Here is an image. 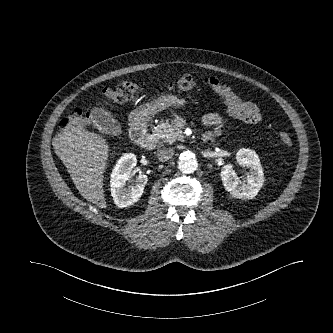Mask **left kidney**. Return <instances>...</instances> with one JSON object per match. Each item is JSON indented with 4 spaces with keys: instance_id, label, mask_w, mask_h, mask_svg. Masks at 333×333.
<instances>
[{
    "instance_id": "obj_1",
    "label": "left kidney",
    "mask_w": 333,
    "mask_h": 333,
    "mask_svg": "<svg viewBox=\"0 0 333 333\" xmlns=\"http://www.w3.org/2000/svg\"><path fill=\"white\" fill-rule=\"evenodd\" d=\"M238 164L246 169V183L238 180L232 165H225L221 171L223 186L230 194L238 199H252L261 189L264 182V174L260 159L255 151L241 148L236 153Z\"/></svg>"
}]
</instances>
